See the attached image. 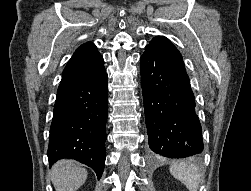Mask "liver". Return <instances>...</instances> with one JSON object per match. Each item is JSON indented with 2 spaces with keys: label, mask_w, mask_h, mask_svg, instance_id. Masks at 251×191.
I'll return each mask as SVG.
<instances>
[{
  "label": "liver",
  "mask_w": 251,
  "mask_h": 191,
  "mask_svg": "<svg viewBox=\"0 0 251 191\" xmlns=\"http://www.w3.org/2000/svg\"><path fill=\"white\" fill-rule=\"evenodd\" d=\"M86 177L87 169L73 159H60L52 165L51 179L56 191H76Z\"/></svg>",
  "instance_id": "obj_1"
}]
</instances>
